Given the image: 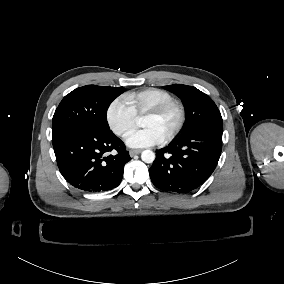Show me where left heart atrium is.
<instances>
[{
  "mask_svg": "<svg viewBox=\"0 0 284 284\" xmlns=\"http://www.w3.org/2000/svg\"><path fill=\"white\" fill-rule=\"evenodd\" d=\"M124 141L128 147L144 148L161 143V137L151 128L133 129L129 131Z\"/></svg>",
  "mask_w": 284,
  "mask_h": 284,
  "instance_id": "obj_1",
  "label": "left heart atrium"
}]
</instances>
